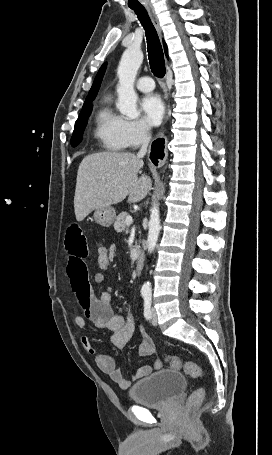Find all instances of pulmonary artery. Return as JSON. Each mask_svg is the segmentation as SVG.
<instances>
[{
    "label": "pulmonary artery",
    "mask_w": 272,
    "mask_h": 455,
    "mask_svg": "<svg viewBox=\"0 0 272 455\" xmlns=\"http://www.w3.org/2000/svg\"><path fill=\"white\" fill-rule=\"evenodd\" d=\"M136 87L143 92H150L154 89L155 84L151 77L143 76L136 82Z\"/></svg>",
    "instance_id": "obj_1"
}]
</instances>
